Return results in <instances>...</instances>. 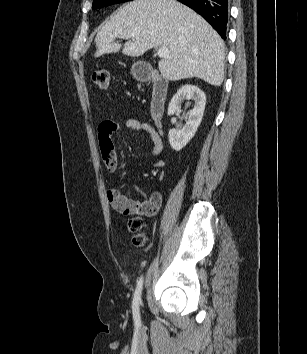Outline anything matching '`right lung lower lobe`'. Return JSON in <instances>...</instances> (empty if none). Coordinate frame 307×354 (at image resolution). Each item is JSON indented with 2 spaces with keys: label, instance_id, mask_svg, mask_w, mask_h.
I'll return each instance as SVG.
<instances>
[{
  "label": "right lung lower lobe",
  "instance_id": "98d812e1",
  "mask_svg": "<svg viewBox=\"0 0 307 354\" xmlns=\"http://www.w3.org/2000/svg\"><path fill=\"white\" fill-rule=\"evenodd\" d=\"M199 13L210 25L226 39L228 22V0H178Z\"/></svg>",
  "mask_w": 307,
  "mask_h": 354
}]
</instances>
